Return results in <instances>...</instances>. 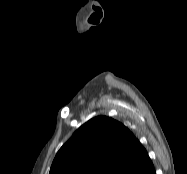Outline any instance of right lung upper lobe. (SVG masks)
<instances>
[{"label":"right lung upper lobe","mask_w":187,"mask_h":174,"mask_svg":"<svg viewBox=\"0 0 187 174\" xmlns=\"http://www.w3.org/2000/svg\"><path fill=\"white\" fill-rule=\"evenodd\" d=\"M153 164L138 139L106 116L82 125L60 148L49 174H151Z\"/></svg>","instance_id":"1"}]
</instances>
